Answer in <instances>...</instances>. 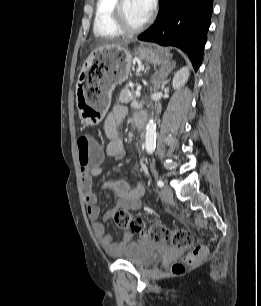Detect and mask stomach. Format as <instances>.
Instances as JSON below:
<instances>
[{
	"mask_svg": "<svg viewBox=\"0 0 261 306\" xmlns=\"http://www.w3.org/2000/svg\"><path fill=\"white\" fill-rule=\"evenodd\" d=\"M159 65L168 62V54L152 45L142 43L133 55L128 49L99 48L87 58L83 70L93 68L98 75H85L77 86V107L83 121L88 125H97L105 116L116 85L125 81L131 70L133 58Z\"/></svg>",
	"mask_w": 261,
	"mask_h": 306,
	"instance_id": "0dacf381",
	"label": "stomach"
}]
</instances>
